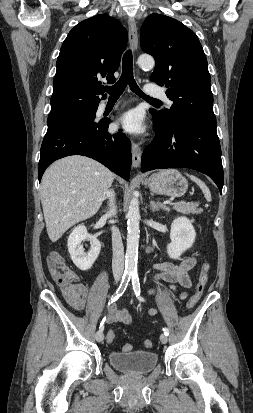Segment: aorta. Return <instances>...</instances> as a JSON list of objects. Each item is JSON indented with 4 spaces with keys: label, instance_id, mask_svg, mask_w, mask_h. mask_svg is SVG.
Here are the masks:
<instances>
[{
    "label": "aorta",
    "instance_id": "762f6f07",
    "mask_svg": "<svg viewBox=\"0 0 253 413\" xmlns=\"http://www.w3.org/2000/svg\"><path fill=\"white\" fill-rule=\"evenodd\" d=\"M138 64L142 69L151 70L155 66L154 58L150 55L143 54L138 58ZM127 247L125 255L126 272L133 273L137 271L138 245H139V201L133 197L130 201L127 213Z\"/></svg>",
    "mask_w": 253,
    "mask_h": 413
}]
</instances>
